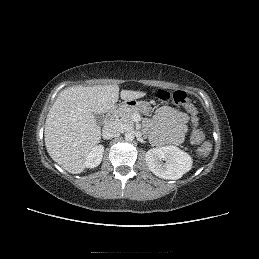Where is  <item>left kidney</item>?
Returning a JSON list of instances; mask_svg holds the SVG:
<instances>
[{
  "instance_id": "obj_1",
  "label": "left kidney",
  "mask_w": 259,
  "mask_h": 259,
  "mask_svg": "<svg viewBox=\"0 0 259 259\" xmlns=\"http://www.w3.org/2000/svg\"><path fill=\"white\" fill-rule=\"evenodd\" d=\"M145 160L150 171L157 177L176 180L191 169V156L176 146H162L148 150Z\"/></svg>"
}]
</instances>
